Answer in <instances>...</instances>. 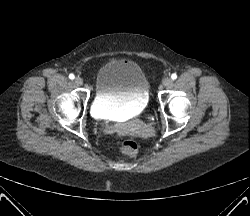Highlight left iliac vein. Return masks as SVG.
<instances>
[{"label": "left iliac vein", "mask_w": 250, "mask_h": 216, "mask_svg": "<svg viewBox=\"0 0 250 216\" xmlns=\"http://www.w3.org/2000/svg\"><path fill=\"white\" fill-rule=\"evenodd\" d=\"M163 85L165 86V87H168V86H170L171 84H172V79L171 78H169V77H167V78H165L164 80H163Z\"/></svg>", "instance_id": "left-iliac-vein-1"}]
</instances>
